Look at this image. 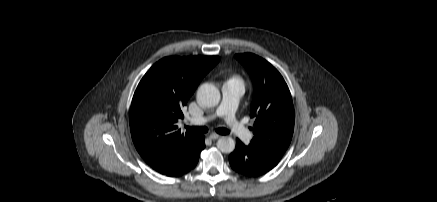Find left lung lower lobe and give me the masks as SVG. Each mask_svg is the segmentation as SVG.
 Here are the masks:
<instances>
[{
	"label": "left lung lower lobe",
	"mask_w": 437,
	"mask_h": 202,
	"mask_svg": "<svg viewBox=\"0 0 437 202\" xmlns=\"http://www.w3.org/2000/svg\"><path fill=\"white\" fill-rule=\"evenodd\" d=\"M229 162L233 170L246 176H260L276 166L266 161L249 146H245L239 139L236 140L234 152L229 156Z\"/></svg>",
	"instance_id": "0a47b994"
}]
</instances>
